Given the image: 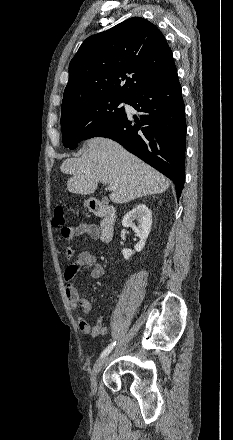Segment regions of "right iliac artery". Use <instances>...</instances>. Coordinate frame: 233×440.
Listing matches in <instances>:
<instances>
[{
    "mask_svg": "<svg viewBox=\"0 0 233 440\" xmlns=\"http://www.w3.org/2000/svg\"><path fill=\"white\" fill-rule=\"evenodd\" d=\"M116 345V341L112 342L102 353H101V357H104L106 355H108L111 350L113 349V347Z\"/></svg>",
    "mask_w": 233,
    "mask_h": 440,
    "instance_id": "1",
    "label": "right iliac artery"
}]
</instances>
